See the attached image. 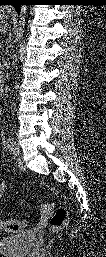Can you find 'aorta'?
<instances>
[{
	"instance_id": "obj_1",
	"label": "aorta",
	"mask_w": 106,
	"mask_h": 257,
	"mask_svg": "<svg viewBox=\"0 0 106 257\" xmlns=\"http://www.w3.org/2000/svg\"><path fill=\"white\" fill-rule=\"evenodd\" d=\"M25 14H26V7L22 6L20 10V21L24 22L25 21Z\"/></svg>"
}]
</instances>
